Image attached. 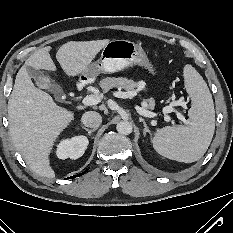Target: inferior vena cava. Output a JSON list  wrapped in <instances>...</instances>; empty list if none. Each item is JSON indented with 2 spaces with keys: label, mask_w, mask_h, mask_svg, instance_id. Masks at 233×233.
Masks as SVG:
<instances>
[{
  "label": "inferior vena cava",
  "mask_w": 233,
  "mask_h": 233,
  "mask_svg": "<svg viewBox=\"0 0 233 233\" xmlns=\"http://www.w3.org/2000/svg\"><path fill=\"white\" fill-rule=\"evenodd\" d=\"M81 121L85 126L97 129L102 123V117L95 111H88L82 115Z\"/></svg>",
  "instance_id": "obj_1"
}]
</instances>
